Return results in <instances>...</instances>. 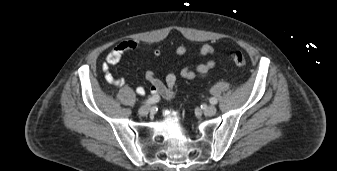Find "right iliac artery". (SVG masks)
I'll use <instances>...</instances> for the list:
<instances>
[{"label": "right iliac artery", "mask_w": 337, "mask_h": 171, "mask_svg": "<svg viewBox=\"0 0 337 171\" xmlns=\"http://www.w3.org/2000/svg\"><path fill=\"white\" fill-rule=\"evenodd\" d=\"M159 101V97L158 96H152L151 98L147 99L145 102H143L146 105H150V104H155Z\"/></svg>", "instance_id": "obj_1"}]
</instances>
